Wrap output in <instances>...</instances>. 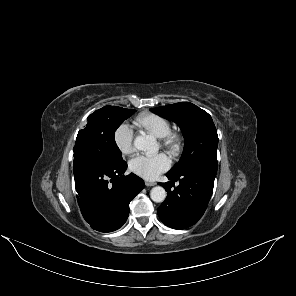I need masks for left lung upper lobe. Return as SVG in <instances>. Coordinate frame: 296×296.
Listing matches in <instances>:
<instances>
[{
  "label": "left lung upper lobe",
  "mask_w": 296,
  "mask_h": 296,
  "mask_svg": "<svg viewBox=\"0 0 296 296\" xmlns=\"http://www.w3.org/2000/svg\"><path fill=\"white\" fill-rule=\"evenodd\" d=\"M150 110L176 122L185 138L181 158L168 174H179L200 164L217 165L218 135L213 120L206 111L189 102Z\"/></svg>",
  "instance_id": "1"
}]
</instances>
